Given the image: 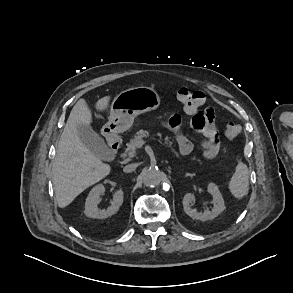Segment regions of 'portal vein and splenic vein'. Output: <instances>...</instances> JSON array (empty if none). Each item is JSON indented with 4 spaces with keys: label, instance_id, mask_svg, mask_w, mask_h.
I'll use <instances>...</instances> for the list:
<instances>
[{
    "label": "portal vein and splenic vein",
    "instance_id": "obj_1",
    "mask_svg": "<svg viewBox=\"0 0 293 293\" xmlns=\"http://www.w3.org/2000/svg\"><path fill=\"white\" fill-rule=\"evenodd\" d=\"M145 144V142L143 140L139 141L137 144L138 148H142V146Z\"/></svg>",
    "mask_w": 293,
    "mask_h": 293
}]
</instances>
